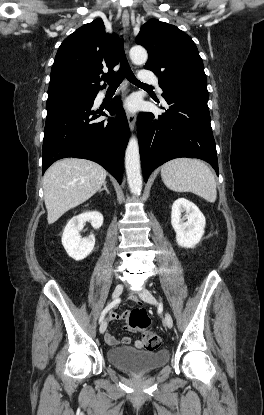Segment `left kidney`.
Returning a JSON list of instances; mask_svg holds the SVG:
<instances>
[{
  "label": "left kidney",
  "instance_id": "obj_1",
  "mask_svg": "<svg viewBox=\"0 0 264 415\" xmlns=\"http://www.w3.org/2000/svg\"><path fill=\"white\" fill-rule=\"evenodd\" d=\"M171 225L176 232L177 244L183 248H194L204 234L206 220L194 203L178 198L172 205Z\"/></svg>",
  "mask_w": 264,
  "mask_h": 415
}]
</instances>
